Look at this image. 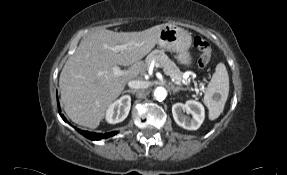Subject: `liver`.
<instances>
[{"label": "liver", "mask_w": 287, "mask_h": 175, "mask_svg": "<svg viewBox=\"0 0 287 175\" xmlns=\"http://www.w3.org/2000/svg\"><path fill=\"white\" fill-rule=\"evenodd\" d=\"M160 24L139 32L99 29L89 33L65 63L59 78L61 101L76 124L95 129L126 83L143 74L145 57L158 43ZM116 45H126L116 50ZM130 66L113 75V67Z\"/></svg>", "instance_id": "6515ba94"}]
</instances>
